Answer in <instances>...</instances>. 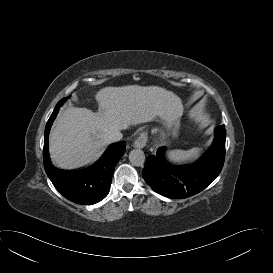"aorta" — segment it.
Returning a JSON list of instances; mask_svg holds the SVG:
<instances>
[{
	"mask_svg": "<svg viewBox=\"0 0 273 273\" xmlns=\"http://www.w3.org/2000/svg\"><path fill=\"white\" fill-rule=\"evenodd\" d=\"M129 161L134 166H143L145 163V154L140 149H134L129 154Z\"/></svg>",
	"mask_w": 273,
	"mask_h": 273,
	"instance_id": "aorta-1",
	"label": "aorta"
}]
</instances>
